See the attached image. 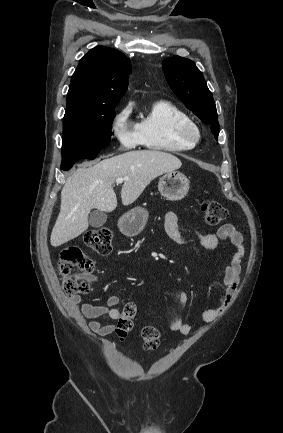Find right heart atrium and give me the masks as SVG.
Here are the masks:
<instances>
[{
  "label": "right heart atrium",
  "mask_w": 283,
  "mask_h": 433,
  "mask_svg": "<svg viewBox=\"0 0 283 433\" xmlns=\"http://www.w3.org/2000/svg\"><path fill=\"white\" fill-rule=\"evenodd\" d=\"M132 111V105L128 103L118 109L110 121V131L119 153L132 150L143 143L137 124L131 121Z\"/></svg>",
  "instance_id": "right-heart-atrium-1"
}]
</instances>
